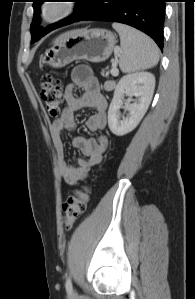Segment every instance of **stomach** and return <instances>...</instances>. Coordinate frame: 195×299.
Segmentation results:
<instances>
[{
  "instance_id": "0dacf381",
  "label": "stomach",
  "mask_w": 195,
  "mask_h": 299,
  "mask_svg": "<svg viewBox=\"0 0 195 299\" xmlns=\"http://www.w3.org/2000/svg\"><path fill=\"white\" fill-rule=\"evenodd\" d=\"M115 45V34L109 30H73L46 50L42 61L53 68L64 67L75 60L99 63L110 57Z\"/></svg>"
}]
</instances>
